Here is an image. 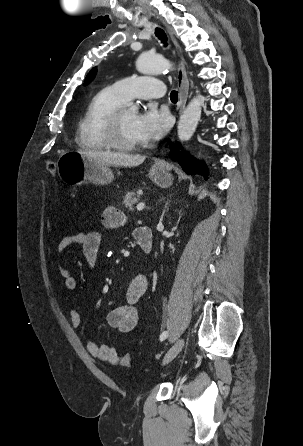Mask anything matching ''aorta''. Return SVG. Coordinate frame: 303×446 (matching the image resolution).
I'll list each match as a JSON object with an SVG mask.
<instances>
[{
    "label": "aorta",
    "instance_id": "aorta-1",
    "mask_svg": "<svg viewBox=\"0 0 303 446\" xmlns=\"http://www.w3.org/2000/svg\"><path fill=\"white\" fill-rule=\"evenodd\" d=\"M171 67L172 65L167 59L145 53L140 55L136 62L137 70L142 74L148 75L167 72ZM202 105L203 99L200 95H197L183 111L178 122V137L180 141H188L193 136L200 121ZM131 110L135 111L136 107L132 106Z\"/></svg>",
    "mask_w": 303,
    "mask_h": 446
}]
</instances>
